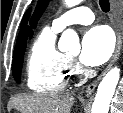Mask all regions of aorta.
I'll return each instance as SVG.
<instances>
[{
    "label": "aorta",
    "mask_w": 123,
    "mask_h": 113,
    "mask_svg": "<svg viewBox=\"0 0 123 113\" xmlns=\"http://www.w3.org/2000/svg\"><path fill=\"white\" fill-rule=\"evenodd\" d=\"M82 0H65L68 7L78 5ZM58 48L62 52L78 54L80 52V43L78 34L72 30H65L58 43ZM120 78V69L112 68L102 79L92 105L91 113H108L111 99L114 95L116 86Z\"/></svg>",
    "instance_id": "762f6f07"
}]
</instances>
